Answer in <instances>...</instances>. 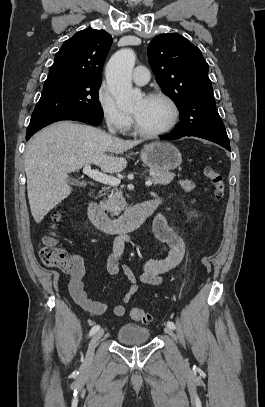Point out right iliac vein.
Segmentation results:
<instances>
[{"label":"right iliac vein","mask_w":265,"mask_h":407,"mask_svg":"<svg viewBox=\"0 0 265 407\" xmlns=\"http://www.w3.org/2000/svg\"><path fill=\"white\" fill-rule=\"evenodd\" d=\"M104 334V330H99L97 331L94 336L92 337L89 346H88V350H87V354H86V362L90 363L93 359V355H94V350L99 342V340L101 339V337Z\"/></svg>","instance_id":"1"}]
</instances>
